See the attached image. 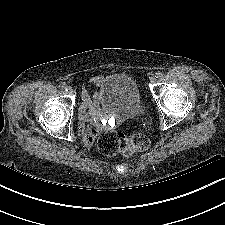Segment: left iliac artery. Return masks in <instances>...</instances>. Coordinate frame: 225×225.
<instances>
[{
  "label": "left iliac artery",
  "instance_id": "obj_1",
  "mask_svg": "<svg viewBox=\"0 0 225 225\" xmlns=\"http://www.w3.org/2000/svg\"><path fill=\"white\" fill-rule=\"evenodd\" d=\"M162 76H163V73L160 72V71H158V72L155 73V77L156 78H161Z\"/></svg>",
  "mask_w": 225,
  "mask_h": 225
}]
</instances>
